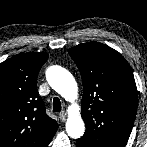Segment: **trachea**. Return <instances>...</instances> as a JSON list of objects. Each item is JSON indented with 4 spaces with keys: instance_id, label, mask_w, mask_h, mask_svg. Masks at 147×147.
I'll return each instance as SVG.
<instances>
[{
    "instance_id": "trachea-1",
    "label": "trachea",
    "mask_w": 147,
    "mask_h": 147,
    "mask_svg": "<svg viewBox=\"0 0 147 147\" xmlns=\"http://www.w3.org/2000/svg\"><path fill=\"white\" fill-rule=\"evenodd\" d=\"M61 111V102L58 97H54L53 99V112H60Z\"/></svg>"
}]
</instances>
